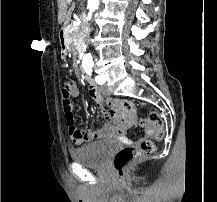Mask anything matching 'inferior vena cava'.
Masks as SVG:
<instances>
[{
  "instance_id": "602c4592",
  "label": "inferior vena cava",
  "mask_w": 217,
  "mask_h": 202,
  "mask_svg": "<svg viewBox=\"0 0 217 202\" xmlns=\"http://www.w3.org/2000/svg\"><path fill=\"white\" fill-rule=\"evenodd\" d=\"M86 38H89V34H87ZM87 42H88V44H89L90 40H87Z\"/></svg>"
}]
</instances>
